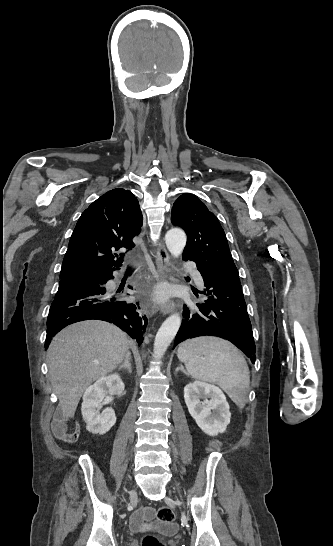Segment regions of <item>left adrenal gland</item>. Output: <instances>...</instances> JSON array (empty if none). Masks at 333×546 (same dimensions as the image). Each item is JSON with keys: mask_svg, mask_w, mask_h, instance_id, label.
<instances>
[{"mask_svg": "<svg viewBox=\"0 0 333 546\" xmlns=\"http://www.w3.org/2000/svg\"><path fill=\"white\" fill-rule=\"evenodd\" d=\"M179 370H181L183 373H185V371H184V369H183L182 366L178 367V368L176 369V372H178Z\"/></svg>", "mask_w": 333, "mask_h": 546, "instance_id": "obj_1", "label": "left adrenal gland"}]
</instances>
